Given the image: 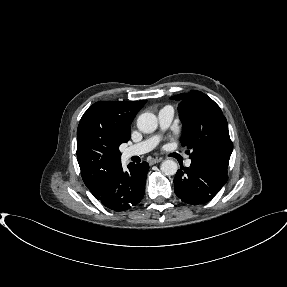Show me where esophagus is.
<instances>
[{
	"label": "esophagus",
	"instance_id": "esophagus-1",
	"mask_svg": "<svg viewBox=\"0 0 287 287\" xmlns=\"http://www.w3.org/2000/svg\"><path fill=\"white\" fill-rule=\"evenodd\" d=\"M162 160H163L162 157L152 158V159L149 160V164H150V165H154V164H156V163L161 162Z\"/></svg>",
	"mask_w": 287,
	"mask_h": 287
}]
</instances>
